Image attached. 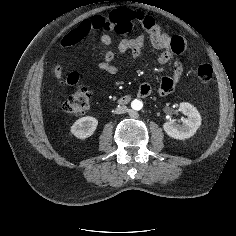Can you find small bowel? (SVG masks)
Masks as SVG:
<instances>
[{"mask_svg":"<svg viewBox=\"0 0 236 236\" xmlns=\"http://www.w3.org/2000/svg\"><path fill=\"white\" fill-rule=\"evenodd\" d=\"M143 29L148 33L152 46L161 50V53L157 56V63L159 65H166L173 60L172 74L163 77L159 84V93L162 95H169L182 80L184 63L180 58V55L188 50V42L182 36L171 37L163 33L152 18H149L144 23ZM100 41L104 46H110L112 44V38L107 33L101 35ZM72 44L75 43H72L68 36L62 41L63 47H69ZM144 45V35L139 34L135 37L120 40L117 45V52L120 54L130 53L132 56L138 57L142 54ZM174 55L176 56L175 58ZM115 57L116 53L114 51H106L103 60L99 64V68L109 75H115L118 72L117 66L113 63ZM53 73L60 84H73L77 80V75L75 74L65 77L62 67L59 64L54 66ZM69 79H71L72 82L68 81ZM151 90L149 84L143 83L139 87L138 94L142 97H146L151 93Z\"/></svg>","mask_w":236,"mask_h":236,"instance_id":"obj_1","label":"small bowel"}]
</instances>
